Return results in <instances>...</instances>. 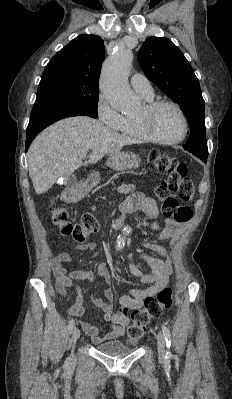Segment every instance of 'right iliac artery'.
Segmentation results:
<instances>
[{"instance_id": "1", "label": "right iliac artery", "mask_w": 232, "mask_h": 399, "mask_svg": "<svg viewBox=\"0 0 232 399\" xmlns=\"http://www.w3.org/2000/svg\"><path fill=\"white\" fill-rule=\"evenodd\" d=\"M74 328H75V322H74V320H72V321L69 323V325H68V330H69V332L71 333V332L74 330Z\"/></svg>"}]
</instances>
